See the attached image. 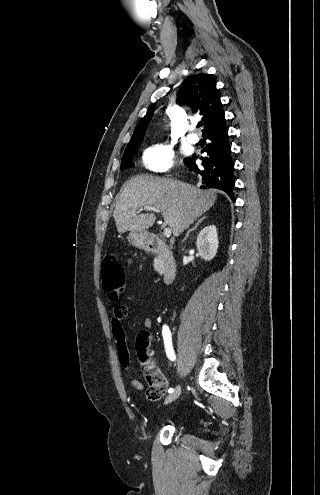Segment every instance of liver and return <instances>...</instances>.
Returning a JSON list of instances; mask_svg holds the SVG:
<instances>
[{
	"mask_svg": "<svg viewBox=\"0 0 320 495\" xmlns=\"http://www.w3.org/2000/svg\"><path fill=\"white\" fill-rule=\"evenodd\" d=\"M214 191L197 189L189 184L149 175L130 179L123 188L116 203L113 217L117 231H143L150 228L156 217L154 214H137L146 206L161 210L164 223L174 236L189 228L191 224L215 203Z\"/></svg>",
	"mask_w": 320,
	"mask_h": 495,
	"instance_id": "obj_1",
	"label": "liver"
}]
</instances>
